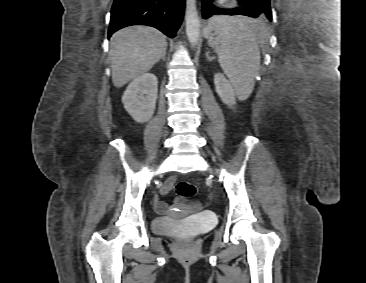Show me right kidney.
I'll use <instances>...</instances> for the list:
<instances>
[{
	"mask_svg": "<svg viewBox=\"0 0 366 283\" xmlns=\"http://www.w3.org/2000/svg\"><path fill=\"white\" fill-rule=\"evenodd\" d=\"M157 87V77L152 73H144L126 88L122 103L136 122L144 123L152 118L157 100Z\"/></svg>",
	"mask_w": 366,
	"mask_h": 283,
	"instance_id": "right-kidney-1",
	"label": "right kidney"
}]
</instances>
